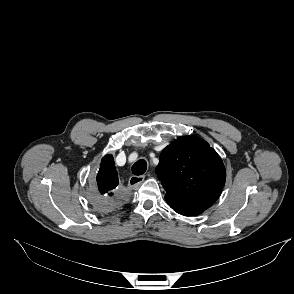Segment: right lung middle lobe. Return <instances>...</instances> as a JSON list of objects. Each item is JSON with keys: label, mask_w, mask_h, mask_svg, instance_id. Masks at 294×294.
Returning <instances> with one entry per match:
<instances>
[{"label": "right lung middle lobe", "mask_w": 294, "mask_h": 294, "mask_svg": "<svg viewBox=\"0 0 294 294\" xmlns=\"http://www.w3.org/2000/svg\"><path fill=\"white\" fill-rule=\"evenodd\" d=\"M89 198L95 210L101 213L113 210L119 203V201H114L110 197H102L97 191H94Z\"/></svg>", "instance_id": "right-lung-middle-lobe-1"}]
</instances>
